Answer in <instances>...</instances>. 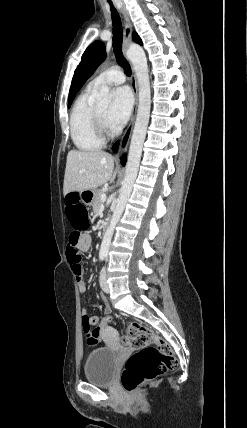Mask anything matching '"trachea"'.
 Wrapping results in <instances>:
<instances>
[{"mask_svg":"<svg viewBox=\"0 0 247 428\" xmlns=\"http://www.w3.org/2000/svg\"><path fill=\"white\" fill-rule=\"evenodd\" d=\"M111 17H112V25H113V51L118 63L124 68V72L127 76L131 75V68L127 63L123 52H122V40H123V32H122V23L117 12L116 8L113 4L110 3Z\"/></svg>","mask_w":247,"mask_h":428,"instance_id":"3493384b","label":"trachea"}]
</instances>
